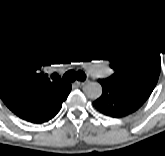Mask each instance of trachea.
Masks as SVG:
<instances>
[{
	"mask_svg": "<svg viewBox=\"0 0 165 156\" xmlns=\"http://www.w3.org/2000/svg\"><path fill=\"white\" fill-rule=\"evenodd\" d=\"M80 80L84 81L86 79V75L82 71H68L63 75L62 82L67 83V82H73L75 80Z\"/></svg>",
	"mask_w": 165,
	"mask_h": 156,
	"instance_id": "1",
	"label": "trachea"
}]
</instances>
